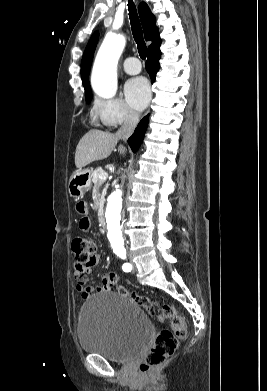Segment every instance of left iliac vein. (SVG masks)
Returning <instances> with one entry per match:
<instances>
[{
	"instance_id": "1",
	"label": "left iliac vein",
	"mask_w": 267,
	"mask_h": 391,
	"mask_svg": "<svg viewBox=\"0 0 267 391\" xmlns=\"http://www.w3.org/2000/svg\"><path fill=\"white\" fill-rule=\"evenodd\" d=\"M131 264H132V272L134 273L135 271H136V266H135V264H134V262H131Z\"/></svg>"
}]
</instances>
